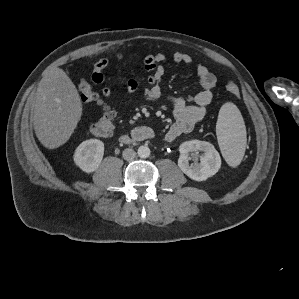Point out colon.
Returning a JSON list of instances; mask_svg holds the SVG:
<instances>
[{"mask_svg":"<svg viewBox=\"0 0 299 299\" xmlns=\"http://www.w3.org/2000/svg\"><path fill=\"white\" fill-rule=\"evenodd\" d=\"M225 87L228 93L233 97H239V88L234 81H227ZM78 89L83 101L102 105L98 95L93 91L92 87L86 80L82 79L80 81ZM115 117L116 113L114 110L104 106L102 116L90 126V134L98 137L110 136L114 130Z\"/></svg>","mask_w":299,"mask_h":299,"instance_id":"5ec220e1","label":"colon"}]
</instances>
